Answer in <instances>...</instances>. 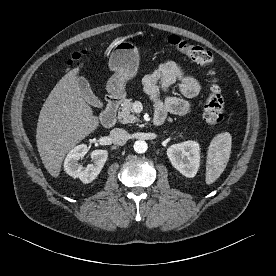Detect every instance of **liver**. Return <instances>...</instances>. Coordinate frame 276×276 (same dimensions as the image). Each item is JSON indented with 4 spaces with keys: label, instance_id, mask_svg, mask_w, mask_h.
I'll list each match as a JSON object with an SVG mask.
<instances>
[{
    "label": "liver",
    "instance_id": "6515ba94",
    "mask_svg": "<svg viewBox=\"0 0 276 276\" xmlns=\"http://www.w3.org/2000/svg\"><path fill=\"white\" fill-rule=\"evenodd\" d=\"M79 68L63 76L40 111L36 143L44 167L58 177L65 155L99 125L76 83Z\"/></svg>",
    "mask_w": 276,
    "mask_h": 276
}]
</instances>
